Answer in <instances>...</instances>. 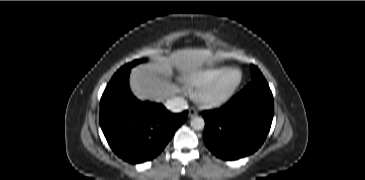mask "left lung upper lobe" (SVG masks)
I'll use <instances>...</instances> for the list:
<instances>
[{
	"label": "left lung upper lobe",
	"instance_id": "1",
	"mask_svg": "<svg viewBox=\"0 0 365 180\" xmlns=\"http://www.w3.org/2000/svg\"><path fill=\"white\" fill-rule=\"evenodd\" d=\"M251 72H252V79L253 80L257 79V78H263V75L260 72V70L254 65H251Z\"/></svg>",
	"mask_w": 365,
	"mask_h": 180
}]
</instances>
